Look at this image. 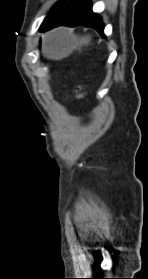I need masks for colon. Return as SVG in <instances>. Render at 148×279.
Returning a JSON list of instances; mask_svg holds the SVG:
<instances>
[{
  "label": "colon",
  "instance_id": "obj_1",
  "mask_svg": "<svg viewBox=\"0 0 148 279\" xmlns=\"http://www.w3.org/2000/svg\"><path fill=\"white\" fill-rule=\"evenodd\" d=\"M74 92H75L76 96L80 99H87V97H88V93L85 90H83V88L81 86H77L74 89Z\"/></svg>",
  "mask_w": 148,
  "mask_h": 279
}]
</instances>
